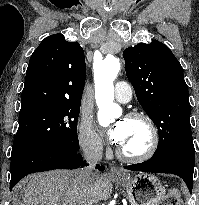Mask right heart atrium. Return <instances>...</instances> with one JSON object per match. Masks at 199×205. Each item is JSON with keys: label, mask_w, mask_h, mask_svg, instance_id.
Listing matches in <instances>:
<instances>
[{"label": "right heart atrium", "mask_w": 199, "mask_h": 205, "mask_svg": "<svg viewBox=\"0 0 199 205\" xmlns=\"http://www.w3.org/2000/svg\"><path fill=\"white\" fill-rule=\"evenodd\" d=\"M78 141L82 151L91 158L102 155L104 146L89 117L84 116L78 127Z\"/></svg>", "instance_id": "right-heart-atrium-1"}]
</instances>
